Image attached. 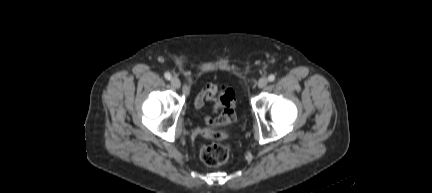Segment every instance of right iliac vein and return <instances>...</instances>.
<instances>
[{"mask_svg":"<svg viewBox=\"0 0 432 193\" xmlns=\"http://www.w3.org/2000/svg\"><path fill=\"white\" fill-rule=\"evenodd\" d=\"M170 83L174 89H179L181 87V82L177 77H172Z\"/></svg>","mask_w":432,"mask_h":193,"instance_id":"63e3f726","label":"right iliac vein"}]
</instances>
